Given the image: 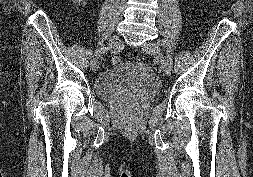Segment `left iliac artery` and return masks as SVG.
<instances>
[{
	"label": "left iliac artery",
	"mask_w": 253,
	"mask_h": 177,
	"mask_svg": "<svg viewBox=\"0 0 253 177\" xmlns=\"http://www.w3.org/2000/svg\"><path fill=\"white\" fill-rule=\"evenodd\" d=\"M158 43L161 44V45H164L163 41H159ZM166 63H169V60H166Z\"/></svg>",
	"instance_id": "obj_1"
}]
</instances>
